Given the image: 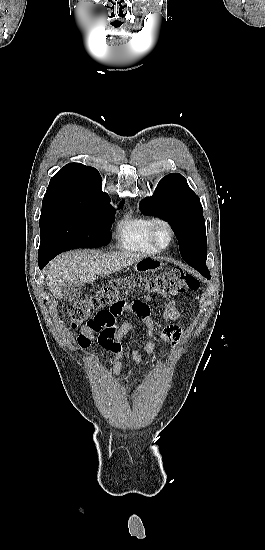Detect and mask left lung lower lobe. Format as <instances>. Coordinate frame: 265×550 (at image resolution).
I'll return each instance as SVG.
<instances>
[{
    "instance_id": "1",
    "label": "left lung lower lobe",
    "mask_w": 265,
    "mask_h": 550,
    "mask_svg": "<svg viewBox=\"0 0 265 550\" xmlns=\"http://www.w3.org/2000/svg\"><path fill=\"white\" fill-rule=\"evenodd\" d=\"M189 265L191 267L195 268L204 277H206L207 279H210V273H209V270L206 266V262L189 263Z\"/></svg>"
}]
</instances>
